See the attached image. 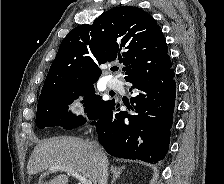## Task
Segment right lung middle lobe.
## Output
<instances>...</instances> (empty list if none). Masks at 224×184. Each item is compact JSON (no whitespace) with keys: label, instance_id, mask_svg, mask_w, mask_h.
<instances>
[{"label":"right lung middle lobe","instance_id":"right-lung-middle-lobe-1","mask_svg":"<svg viewBox=\"0 0 224 184\" xmlns=\"http://www.w3.org/2000/svg\"><path fill=\"white\" fill-rule=\"evenodd\" d=\"M94 83L74 84L40 100L36 113V125L41 129L53 126L72 129L85 124L86 120L82 116L77 117L68 112V105L79 96L87 99L84 101V106L88 119L96 120L109 101L101 100V97L95 94Z\"/></svg>","mask_w":224,"mask_h":184}]
</instances>
